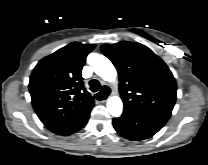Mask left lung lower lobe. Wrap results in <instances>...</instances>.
Instances as JSON below:
<instances>
[{
  "label": "left lung lower lobe",
  "mask_w": 208,
  "mask_h": 165,
  "mask_svg": "<svg viewBox=\"0 0 208 165\" xmlns=\"http://www.w3.org/2000/svg\"><path fill=\"white\" fill-rule=\"evenodd\" d=\"M167 120L162 117L123 111L121 117L113 119V127L122 137L139 141L152 137Z\"/></svg>",
  "instance_id": "1"
}]
</instances>
